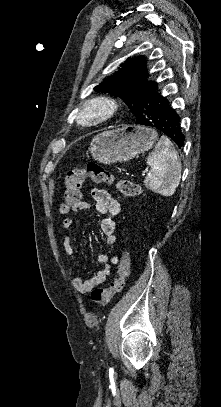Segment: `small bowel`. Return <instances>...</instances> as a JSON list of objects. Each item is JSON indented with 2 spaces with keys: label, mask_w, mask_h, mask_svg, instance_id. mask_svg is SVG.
Here are the masks:
<instances>
[{
  "label": "small bowel",
  "mask_w": 221,
  "mask_h": 407,
  "mask_svg": "<svg viewBox=\"0 0 221 407\" xmlns=\"http://www.w3.org/2000/svg\"><path fill=\"white\" fill-rule=\"evenodd\" d=\"M95 201L96 211L105 217L101 221V230L108 245H113L117 240L116 219L120 212V203L114 199L106 190L94 188L91 192ZM90 203L80 201L76 206L72 207L73 212L84 209H89ZM62 226L65 230H71L74 227L72 218L66 217L62 221ZM62 246L69 256L71 261L77 260V251L74 248L73 241L68 235H64ZM98 261L102 264L101 269L91 278L83 279L80 274L73 271L72 265L69 267V275L71 284L76 291L85 294L92 291L95 287L103 284L111 274V263L116 262L115 258L109 259L107 256L99 257Z\"/></svg>",
  "instance_id": "1"
}]
</instances>
